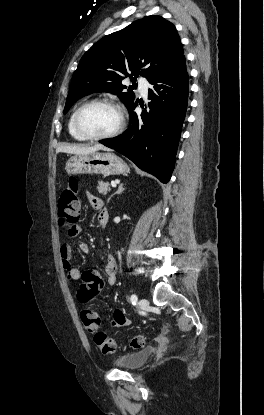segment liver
I'll return each instance as SVG.
<instances>
[{
	"instance_id": "1",
	"label": "liver",
	"mask_w": 264,
	"mask_h": 415,
	"mask_svg": "<svg viewBox=\"0 0 264 415\" xmlns=\"http://www.w3.org/2000/svg\"><path fill=\"white\" fill-rule=\"evenodd\" d=\"M99 150L103 151H109V149L103 145L97 144L94 146L86 147V146H77V145H63L57 148L56 152H64V153H70L75 155H81V154H89L93 152H97Z\"/></svg>"
}]
</instances>
